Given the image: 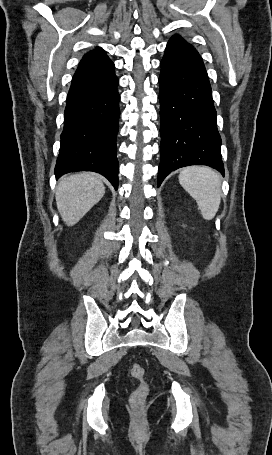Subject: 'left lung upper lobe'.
<instances>
[{"label": "left lung upper lobe", "mask_w": 272, "mask_h": 455, "mask_svg": "<svg viewBox=\"0 0 272 455\" xmlns=\"http://www.w3.org/2000/svg\"><path fill=\"white\" fill-rule=\"evenodd\" d=\"M188 58H200L197 50L181 36L174 35L168 42L163 59L182 60Z\"/></svg>", "instance_id": "obj_1"}]
</instances>
